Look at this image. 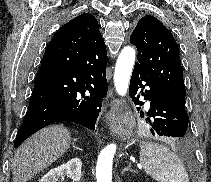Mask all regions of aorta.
Instances as JSON below:
<instances>
[{"label": "aorta", "mask_w": 211, "mask_h": 182, "mask_svg": "<svg viewBox=\"0 0 211 182\" xmlns=\"http://www.w3.org/2000/svg\"><path fill=\"white\" fill-rule=\"evenodd\" d=\"M134 63V48L124 47L119 54L114 72V85L120 96H125L128 91ZM116 148L115 144H109L100 152L96 166L97 182H112V163Z\"/></svg>", "instance_id": "aorta-1"}]
</instances>
